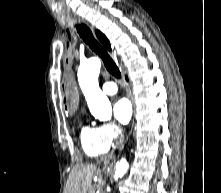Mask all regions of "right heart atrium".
Wrapping results in <instances>:
<instances>
[{"label":"right heart atrium","mask_w":221,"mask_h":193,"mask_svg":"<svg viewBox=\"0 0 221 193\" xmlns=\"http://www.w3.org/2000/svg\"><path fill=\"white\" fill-rule=\"evenodd\" d=\"M99 130L103 139L110 144H113L120 137L121 131L119 126L114 122H106L99 126Z\"/></svg>","instance_id":"1"}]
</instances>
